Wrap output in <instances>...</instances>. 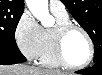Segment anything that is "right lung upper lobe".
<instances>
[{
  "label": "right lung upper lobe",
  "instance_id": "cb5924a9",
  "mask_svg": "<svg viewBox=\"0 0 102 75\" xmlns=\"http://www.w3.org/2000/svg\"><path fill=\"white\" fill-rule=\"evenodd\" d=\"M0 6L11 9H24V0H0Z\"/></svg>",
  "mask_w": 102,
  "mask_h": 75
}]
</instances>
